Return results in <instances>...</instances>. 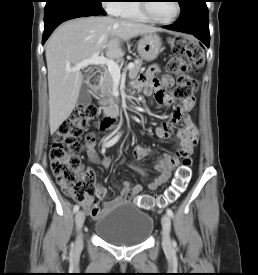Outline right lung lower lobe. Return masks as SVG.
Here are the masks:
<instances>
[{
    "instance_id": "98d812e1",
    "label": "right lung lower lobe",
    "mask_w": 258,
    "mask_h": 275,
    "mask_svg": "<svg viewBox=\"0 0 258 275\" xmlns=\"http://www.w3.org/2000/svg\"><path fill=\"white\" fill-rule=\"evenodd\" d=\"M101 5L86 0H57L46 4L44 9L43 44L62 22L85 16L105 15Z\"/></svg>"
}]
</instances>
